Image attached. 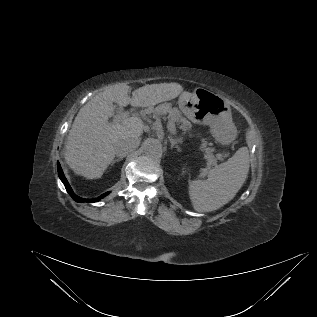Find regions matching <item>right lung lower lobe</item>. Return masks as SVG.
Masks as SVG:
<instances>
[{"label":"right lung lower lobe","mask_w":317,"mask_h":317,"mask_svg":"<svg viewBox=\"0 0 317 317\" xmlns=\"http://www.w3.org/2000/svg\"><path fill=\"white\" fill-rule=\"evenodd\" d=\"M57 169H58V173H59V178L61 179V181L63 182L67 192L70 194V196L76 201V202H97L100 198H103L105 197L106 195L109 194V192L101 195L99 198L97 199H83V198H80L79 196L75 195L72 188L70 187L68 181L66 180L65 176H64V173L62 171V168L59 164V162L57 163Z\"/></svg>","instance_id":"98d812e1"}]
</instances>
